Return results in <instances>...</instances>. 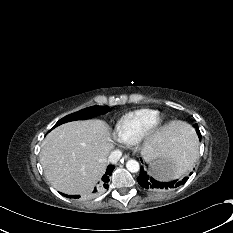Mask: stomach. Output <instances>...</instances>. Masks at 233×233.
<instances>
[{
    "mask_svg": "<svg viewBox=\"0 0 233 233\" xmlns=\"http://www.w3.org/2000/svg\"><path fill=\"white\" fill-rule=\"evenodd\" d=\"M177 167L172 162V156L152 154L146 162L148 175L156 181H165L176 177Z\"/></svg>",
    "mask_w": 233,
    "mask_h": 233,
    "instance_id": "0dacf381",
    "label": "stomach"
}]
</instances>
